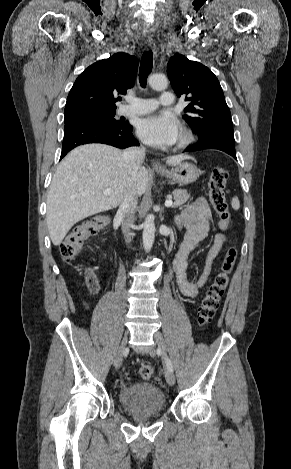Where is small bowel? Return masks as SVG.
<instances>
[{
    "label": "small bowel",
    "mask_w": 291,
    "mask_h": 469,
    "mask_svg": "<svg viewBox=\"0 0 291 469\" xmlns=\"http://www.w3.org/2000/svg\"><path fill=\"white\" fill-rule=\"evenodd\" d=\"M211 213L207 201L204 198H198L188 205L185 210L177 217L179 227H185L186 233L184 240L173 261V269L176 275V283L181 293L187 298H194L205 286L211 274L212 263L224 248L227 238L219 233L215 236L212 247L207 255L203 272L198 280L191 279L187 274L188 255L195 245L203 240L209 231ZM221 230L227 229V224L219 222ZM86 282L89 290L96 293L99 289L96 278L88 273Z\"/></svg>",
    "instance_id": "obj_1"
}]
</instances>
